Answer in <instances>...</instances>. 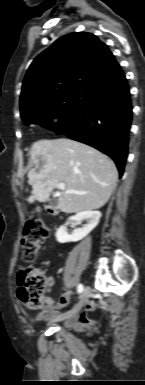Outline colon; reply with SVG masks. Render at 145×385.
Returning <instances> with one entry per match:
<instances>
[{"label":"colon","instance_id":"obj_1","mask_svg":"<svg viewBox=\"0 0 145 385\" xmlns=\"http://www.w3.org/2000/svg\"><path fill=\"white\" fill-rule=\"evenodd\" d=\"M47 236V228L39 221H30L26 225L20 243L25 262L35 261L40 244ZM17 284L19 300L29 309H40L49 287L47 277L38 268L29 267L18 273Z\"/></svg>","mask_w":145,"mask_h":385}]
</instances>
